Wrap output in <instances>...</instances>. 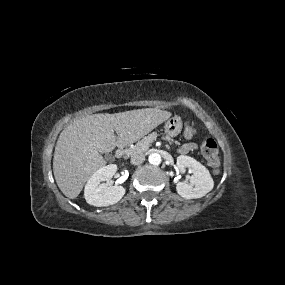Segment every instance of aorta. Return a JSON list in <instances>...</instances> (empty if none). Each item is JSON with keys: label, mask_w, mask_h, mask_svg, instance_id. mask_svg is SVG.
I'll use <instances>...</instances> for the list:
<instances>
[{"label": "aorta", "mask_w": 285, "mask_h": 285, "mask_svg": "<svg viewBox=\"0 0 285 285\" xmlns=\"http://www.w3.org/2000/svg\"><path fill=\"white\" fill-rule=\"evenodd\" d=\"M148 160L152 165H159L161 163V156L158 153H153L149 156Z\"/></svg>", "instance_id": "762f6f07"}]
</instances>
